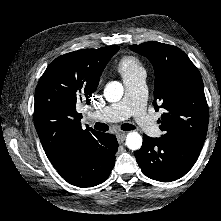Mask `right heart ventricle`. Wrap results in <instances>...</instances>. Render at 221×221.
Segmentation results:
<instances>
[{"label":"right heart ventricle","instance_id":"obj_1","mask_svg":"<svg viewBox=\"0 0 221 221\" xmlns=\"http://www.w3.org/2000/svg\"><path fill=\"white\" fill-rule=\"evenodd\" d=\"M117 69L124 81L145 73L142 61L134 55L123 56L117 63Z\"/></svg>","mask_w":221,"mask_h":221}]
</instances>
